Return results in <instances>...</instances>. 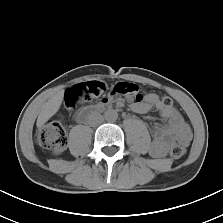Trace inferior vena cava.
I'll return each instance as SVG.
<instances>
[{"instance_id": "obj_1", "label": "inferior vena cava", "mask_w": 223, "mask_h": 223, "mask_svg": "<svg viewBox=\"0 0 223 223\" xmlns=\"http://www.w3.org/2000/svg\"><path fill=\"white\" fill-rule=\"evenodd\" d=\"M103 120H104V118L101 114H95L90 121V125L97 126V125L101 124L103 122Z\"/></svg>"}]
</instances>
